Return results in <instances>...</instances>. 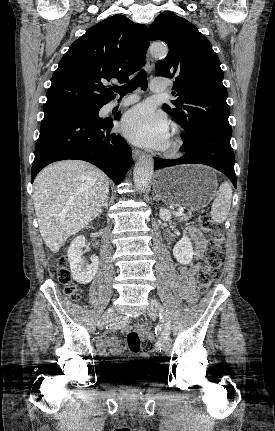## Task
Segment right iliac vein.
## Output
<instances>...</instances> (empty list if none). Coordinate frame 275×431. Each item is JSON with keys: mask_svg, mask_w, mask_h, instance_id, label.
Here are the masks:
<instances>
[{"mask_svg": "<svg viewBox=\"0 0 275 431\" xmlns=\"http://www.w3.org/2000/svg\"><path fill=\"white\" fill-rule=\"evenodd\" d=\"M116 315L117 312L114 307L107 309V311L104 313V315L98 322V328L102 330L108 322L112 321L116 317Z\"/></svg>", "mask_w": 275, "mask_h": 431, "instance_id": "63e3f726", "label": "right iliac vein"}]
</instances>
